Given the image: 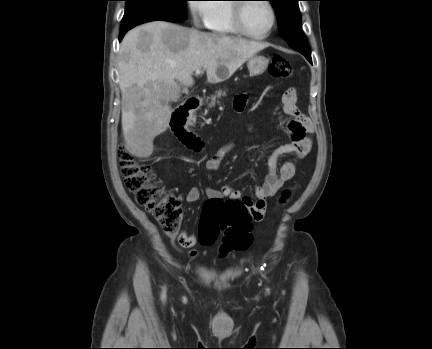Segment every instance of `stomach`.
Returning a JSON list of instances; mask_svg holds the SVG:
<instances>
[{
    "mask_svg": "<svg viewBox=\"0 0 432 349\" xmlns=\"http://www.w3.org/2000/svg\"><path fill=\"white\" fill-rule=\"evenodd\" d=\"M269 59L262 55H254L249 58L247 67L251 75H260L268 67Z\"/></svg>",
    "mask_w": 432,
    "mask_h": 349,
    "instance_id": "0dacf381",
    "label": "stomach"
}]
</instances>
